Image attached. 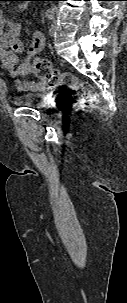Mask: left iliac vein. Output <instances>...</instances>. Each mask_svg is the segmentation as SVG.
Instances as JSON below:
<instances>
[{
	"instance_id": "left-iliac-vein-1",
	"label": "left iliac vein",
	"mask_w": 127,
	"mask_h": 303,
	"mask_svg": "<svg viewBox=\"0 0 127 303\" xmlns=\"http://www.w3.org/2000/svg\"><path fill=\"white\" fill-rule=\"evenodd\" d=\"M49 33L51 36H55L57 34V24L55 21L52 22L50 29H49Z\"/></svg>"
}]
</instances>
